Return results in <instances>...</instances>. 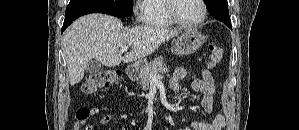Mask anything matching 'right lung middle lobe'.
Here are the masks:
<instances>
[{
	"mask_svg": "<svg viewBox=\"0 0 299 130\" xmlns=\"http://www.w3.org/2000/svg\"><path fill=\"white\" fill-rule=\"evenodd\" d=\"M89 6L111 10L130 16L133 13L132 0H70L68 7Z\"/></svg>",
	"mask_w": 299,
	"mask_h": 130,
	"instance_id": "right-lung-middle-lobe-1",
	"label": "right lung middle lobe"
}]
</instances>
